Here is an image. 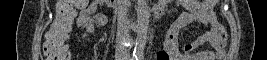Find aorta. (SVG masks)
I'll return each instance as SVG.
<instances>
[{
    "label": "aorta",
    "instance_id": "obj_1",
    "mask_svg": "<svg viewBox=\"0 0 267 60\" xmlns=\"http://www.w3.org/2000/svg\"><path fill=\"white\" fill-rule=\"evenodd\" d=\"M136 12H137V43L135 47V53L139 54L144 50L147 40V31L149 25V11L146 0H137Z\"/></svg>",
    "mask_w": 267,
    "mask_h": 60
}]
</instances>
